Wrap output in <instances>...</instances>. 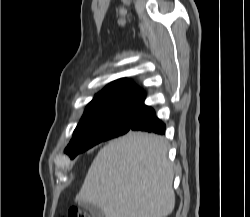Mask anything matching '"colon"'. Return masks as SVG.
<instances>
[{"mask_svg":"<svg viewBox=\"0 0 250 217\" xmlns=\"http://www.w3.org/2000/svg\"><path fill=\"white\" fill-rule=\"evenodd\" d=\"M67 217H90V215L77 208H73L69 210Z\"/></svg>","mask_w":250,"mask_h":217,"instance_id":"colon-1","label":"colon"}]
</instances>
